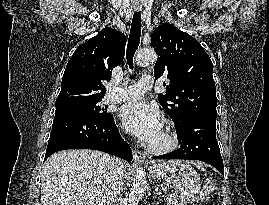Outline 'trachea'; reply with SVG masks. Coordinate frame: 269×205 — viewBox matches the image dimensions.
<instances>
[{
    "mask_svg": "<svg viewBox=\"0 0 269 205\" xmlns=\"http://www.w3.org/2000/svg\"><path fill=\"white\" fill-rule=\"evenodd\" d=\"M141 36V14L140 12H135L132 19L126 57L130 69H133V57L138 49Z\"/></svg>",
    "mask_w": 269,
    "mask_h": 205,
    "instance_id": "trachea-1",
    "label": "trachea"
}]
</instances>
